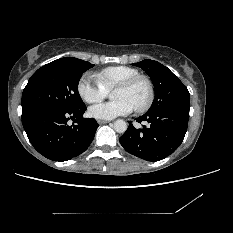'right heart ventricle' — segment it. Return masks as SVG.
<instances>
[{"label":"right heart ventricle","instance_id":"obj_1","mask_svg":"<svg viewBox=\"0 0 233 233\" xmlns=\"http://www.w3.org/2000/svg\"><path fill=\"white\" fill-rule=\"evenodd\" d=\"M139 74L136 68L124 65L110 66L95 74L96 80L108 91L118 83Z\"/></svg>","mask_w":233,"mask_h":233}]
</instances>
